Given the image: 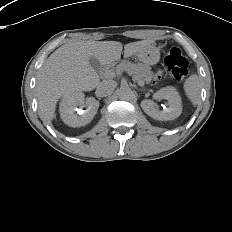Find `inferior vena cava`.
I'll return each instance as SVG.
<instances>
[{
    "label": "inferior vena cava",
    "instance_id": "inferior-vena-cava-1",
    "mask_svg": "<svg viewBox=\"0 0 232 232\" xmlns=\"http://www.w3.org/2000/svg\"><path fill=\"white\" fill-rule=\"evenodd\" d=\"M115 87L116 82L114 80H103L97 86L96 95L98 97H106L113 93Z\"/></svg>",
    "mask_w": 232,
    "mask_h": 232
}]
</instances>
